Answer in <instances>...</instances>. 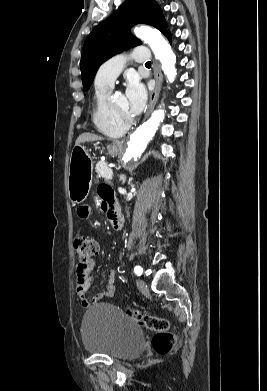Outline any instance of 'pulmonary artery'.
Listing matches in <instances>:
<instances>
[{
  "label": "pulmonary artery",
  "mask_w": 267,
  "mask_h": 391,
  "mask_svg": "<svg viewBox=\"0 0 267 391\" xmlns=\"http://www.w3.org/2000/svg\"><path fill=\"white\" fill-rule=\"evenodd\" d=\"M130 57L138 63H145L149 60V50L139 46L133 49ZM128 56L118 54L104 62L99 68L95 77L96 87H113L114 81L124 67Z\"/></svg>",
  "instance_id": "1"
}]
</instances>
